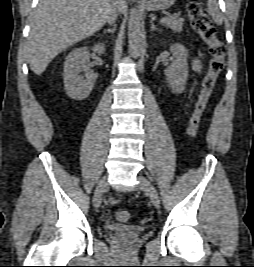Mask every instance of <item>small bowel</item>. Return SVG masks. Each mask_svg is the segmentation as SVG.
I'll use <instances>...</instances> for the list:
<instances>
[{"label": "small bowel", "instance_id": "obj_1", "mask_svg": "<svg viewBox=\"0 0 254 267\" xmlns=\"http://www.w3.org/2000/svg\"><path fill=\"white\" fill-rule=\"evenodd\" d=\"M192 68L195 72L197 73H201L202 72V63L199 59L195 58L193 61H192ZM118 200H115V199H112V202L115 203L117 202Z\"/></svg>", "mask_w": 254, "mask_h": 267}]
</instances>
